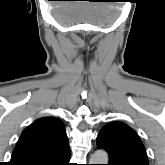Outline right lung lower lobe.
Returning <instances> with one entry per match:
<instances>
[{"label": "right lung lower lobe", "instance_id": "1", "mask_svg": "<svg viewBox=\"0 0 165 165\" xmlns=\"http://www.w3.org/2000/svg\"><path fill=\"white\" fill-rule=\"evenodd\" d=\"M69 160L70 149L67 141L61 144L54 154L37 165H70Z\"/></svg>", "mask_w": 165, "mask_h": 165}]
</instances>
